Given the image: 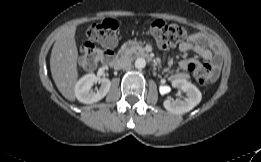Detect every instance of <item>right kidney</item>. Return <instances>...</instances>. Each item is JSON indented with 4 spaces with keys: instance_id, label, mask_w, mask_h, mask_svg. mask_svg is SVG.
<instances>
[{
    "instance_id": "ca27d5eb",
    "label": "right kidney",
    "mask_w": 261,
    "mask_h": 162,
    "mask_svg": "<svg viewBox=\"0 0 261 162\" xmlns=\"http://www.w3.org/2000/svg\"><path fill=\"white\" fill-rule=\"evenodd\" d=\"M99 81L101 86L99 89L92 90L94 83ZM111 87V81L107 78H98L94 73L83 76L75 85L76 98L85 104H92L100 101L106 96Z\"/></svg>"
}]
</instances>
